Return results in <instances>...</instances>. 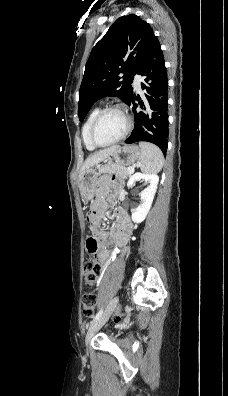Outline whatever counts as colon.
<instances>
[{
	"instance_id": "colon-1",
	"label": "colon",
	"mask_w": 228,
	"mask_h": 396,
	"mask_svg": "<svg viewBox=\"0 0 228 396\" xmlns=\"http://www.w3.org/2000/svg\"><path fill=\"white\" fill-rule=\"evenodd\" d=\"M95 215L93 213L87 214V220L93 224ZM87 252L90 255H94L98 249V243L95 239L89 238L86 242ZM100 274V267L92 259L88 260L84 264V276L86 285L92 286L95 283L96 278ZM97 305V295L93 291H86L82 297V308L83 314L91 316ZM121 318H119L120 320Z\"/></svg>"
}]
</instances>
